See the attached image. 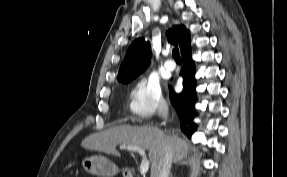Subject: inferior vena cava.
<instances>
[{"mask_svg":"<svg viewBox=\"0 0 287 177\" xmlns=\"http://www.w3.org/2000/svg\"><path fill=\"white\" fill-rule=\"evenodd\" d=\"M161 117L165 120L168 115V106L165 105L160 113ZM172 164V153L171 148L167 145L164 149V154L159 161L157 169L155 173L152 175L153 177H169L170 169Z\"/></svg>","mask_w":287,"mask_h":177,"instance_id":"obj_1","label":"inferior vena cava"}]
</instances>
